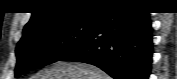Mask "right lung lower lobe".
<instances>
[{
	"instance_id": "98d812e1",
	"label": "right lung lower lobe",
	"mask_w": 177,
	"mask_h": 79,
	"mask_svg": "<svg viewBox=\"0 0 177 79\" xmlns=\"http://www.w3.org/2000/svg\"><path fill=\"white\" fill-rule=\"evenodd\" d=\"M152 53L149 12L113 6L95 20L88 38L59 61L89 63L114 79H148Z\"/></svg>"
}]
</instances>
